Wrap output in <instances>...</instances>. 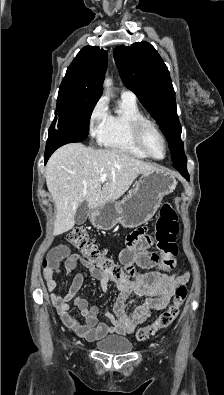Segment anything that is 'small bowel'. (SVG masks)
Here are the masks:
<instances>
[{
	"instance_id": "small-bowel-1",
	"label": "small bowel",
	"mask_w": 224,
	"mask_h": 395,
	"mask_svg": "<svg viewBox=\"0 0 224 395\" xmlns=\"http://www.w3.org/2000/svg\"><path fill=\"white\" fill-rule=\"evenodd\" d=\"M151 240L146 230L143 228L133 231L127 238V246L119 256L121 264L131 271L135 266L150 269L157 261L154 254L147 250ZM50 264L43 269V277L50 293V298L57 309L62 322L71 328L78 336L89 341H97L106 335H129L137 326L141 324L151 313L164 309L176 288L188 281V274L183 272L161 273L149 271L147 273H137L136 280L123 282L110 277L99 270L95 265L87 262L81 254H70V250L65 245L55 247L50 252ZM64 261V269L67 274H71L79 264L87 268L89 274L98 281L99 289L105 293L110 283H115L119 294L114 303L113 312L105 313L106 321L99 318V308L91 306L88 300L80 293L84 282V275L77 273L73 277L72 283L66 294L55 293L58 286L57 277L60 275V262ZM177 262L174 260V267ZM139 298L145 297V301L137 306L133 311L128 312V305L135 300H131V294ZM73 300L78 308L84 322L81 323L69 313V302Z\"/></svg>"
}]
</instances>
